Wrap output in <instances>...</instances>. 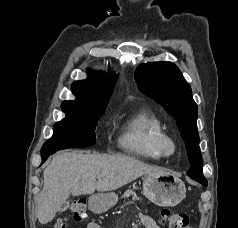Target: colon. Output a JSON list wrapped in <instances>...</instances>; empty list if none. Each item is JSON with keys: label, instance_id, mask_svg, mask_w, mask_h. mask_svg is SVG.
<instances>
[{"label": "colon", "instance_id": "obj_1", "mask_svg": "<svg viewBox=\"0 0 238 228\" xmlns=\"http://www.w3.org/2000/svg\"><path fill=\"white\" fill-rule=\"evenodd\" d=\"M85 213V199H77L71 204L69 215L55 223L54 228H65L69 220L79 222L84 219ZM160 213L162 223L168 228H190V219L188 215L184 213L172 212L167 208H163Z\"/></svg>", "mask_w": 238, "mask_h": 228}]
</instances>
